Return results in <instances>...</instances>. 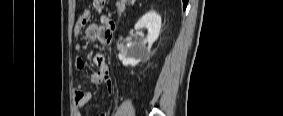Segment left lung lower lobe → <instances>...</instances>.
Returning <instances> with one entry per match:
<instances>
[{"mask_svg": "<svg viewBox=\"0 0 283 116\" xmlns=\"http://www.w3.org/2000/svg\"><path fill=\"white\" fill-rule=\"evenodd\" d=\"M187 2H188V0H183L184 9H185V8H186V6H187Z\"/></svg>", "mask_w": 283, "mask_h": 116, "instance_id": "left-lung-lower-lobe-1", "label": "left lung lower lobe"}]
</instances>
